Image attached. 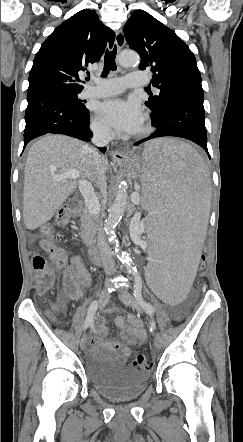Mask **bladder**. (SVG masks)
Instances as JSON below:
<instances>
[{"instance_id":"1","label":"bladder","mask_w":243,"mask_h":442,"mask_svg":"<svg viewBox=\"0 0 243 442\" xmlns=\"http://www.w3.org/2000/svg\"><path fill=\"white\" fill-rule=\"evenodd\" d=\"M86 372L94 389L115 402L138 398L146 389L149 375L129 367L118 358L104 353L93 354L86 364Z\"/></svg>"}]
</instances>
